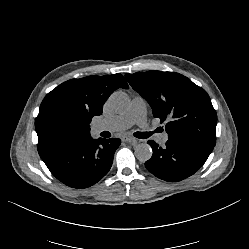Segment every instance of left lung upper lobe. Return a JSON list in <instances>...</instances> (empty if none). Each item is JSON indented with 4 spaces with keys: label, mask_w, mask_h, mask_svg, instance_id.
Here are the masks:
<instances>
[{
    "label": "left lung upper lobe",
    "mask_w": 249,
    "mask_h": 249,
    "mask_svg": "<svg viewBox=\"0 0 249 249\" xmlns=\"http://www.w3.org/2000/svg\"><path fill=\"white\" fill-rule=\"evenodd\" d=\"M125 77L149 103L154 117L161 123L169 120L165 126L169 139L215 146L217 114L204 89L175 72L153 70Z\"/></svg>",
    "instance_id": "left-lung-upper-lobe-1"
}]
</instances>
